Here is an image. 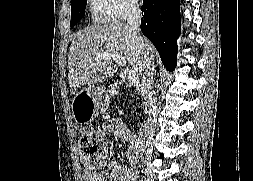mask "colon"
I'll return each instance as SVG.
<instances>
[{
  "label": "colon",
  "instance_id": "colon-1",
  "mask_svg": "<svg viewBox=\"0 0 253 181\" xmlns=\"http://www.w3.org/2000/svg\"><path fill=\"white\" fill-rule=\"evenodd\" d=\"M79 153L83 167L95 171L105 159L106 146L96 131L84 132L79 139Z\"/></svg>",
  "mask_w": 253,
  "mask_h": 181
}]
</instances>
